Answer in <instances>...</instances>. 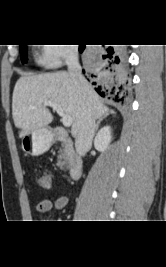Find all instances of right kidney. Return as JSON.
<instances>
[{"instance_id":"ca27d5eb","label":"right kidney","mask_w":166,"mask_h":267,"mask_svg":"<svg viewBox=\"0 0 166 267\" xmlns=\"http://www.w3.org/2000/svg\"><path fill=\"white\" fill-rule=\"evenodd\" d=\"M111 139V128L110 126H105L96 135L94 146L98 151L104 152L109 147Z\"/></svg>"}]
</instances>
